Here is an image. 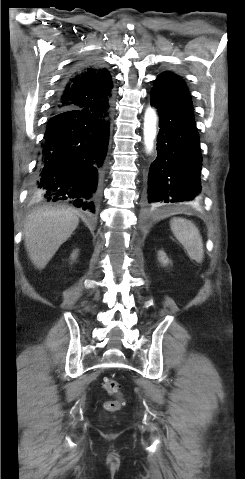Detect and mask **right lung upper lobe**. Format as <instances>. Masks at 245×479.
<instances>
[{
    "label": "right lung upper lobe",
    "instance_id": "right-lung-upper-lobe-1",
    "mask_svg": "<svg viewBox=\"0 0 245 479\" xmlns=\"http://www.w3.org/2000/svg\"><path fill=\"white\" fill-rule=\"evenodd\" d=\"M112 88L111 76L105 68L87 64L69 75L57 95L54 111L108 103L112 100Z\"/></svg>",
    "mask_w": 245,
    "mask_h": 479
}]
</instances>
